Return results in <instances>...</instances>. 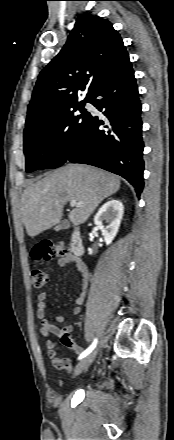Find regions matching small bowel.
<instances>
[{
  "label": "small bowel",
  "mask_w": 174,
  "mask_h": 440,
  "mask_svg": "<svg viewBox=\"0 0 174 440\" xmlns=\"http://www.w3.org/2000/svg\"><path fill=\"white\" fill-rule=\"evenodd\" d=\"M68 265L74 266L81 275L80 288L77 297L75 298V306L72 309L73 314L80 313V305L84 303L88 286L89 275L84 263L72 254H67L58 260V266L64 268ZM47 294L40 292L37 295V311L36 316L40 321V334L46 338L45 346L47 349V355L52 359L53 364L58 369L68 368L70 366V359L57 357L56 342L50 339V336H56L60 339L63 345L73 350L76 354L81 352V347L73 340L72 333L74 332V326L68 325L65 327H59L56 324L50 323L47 319ZM66 317L64 315H57L55 321L57 323L65 322Z\"/></svg>",
  "instance_id": "small-bowel-1"
}]
</instances>
